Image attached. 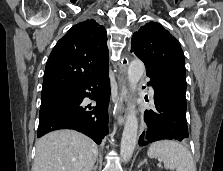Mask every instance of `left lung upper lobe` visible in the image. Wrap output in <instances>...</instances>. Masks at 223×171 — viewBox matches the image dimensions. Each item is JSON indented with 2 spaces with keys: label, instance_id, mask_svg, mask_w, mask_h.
<instances>
[{
  "label": "left lung upper lobe",
  "instance_id": "1",
  "mask_svg": "<svg viewBox=\"0 0 223 171\" xmlns=\"http://www.w3.org/2000/svg\"><path fill=\"white\" fill-rule=\"evenodd\" d=\"M132 52L146 67V73L163 78L186 92L185 59L179 42L156 22H149L134 33Z\"/></svg>",
  "mask_w": 223,
  "mask_h": 171
}]
</instances>
